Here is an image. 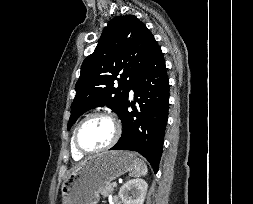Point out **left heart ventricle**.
<instances>
[{
    "mask_svg": "<svg viewBox=\"0 0 253 204\" xmlns=\"http://www.w3.org/2000/svg\"><path fill=\"white\" fill-rule=\"evenodd\" d=\"M114 132V125L110 120L96 117L81 127L78 141L82 148L94 150L107 145L113 138Z\"/></svg>",
    "mask_w": 253,
    "mask_h": 204,
    "instance_id": "1",
    "label": "left heart ventricle"
}]
</instances>
